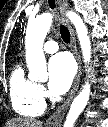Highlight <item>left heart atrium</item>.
<instances>
[{"mask_svg":"<svg viewBox=\"0 0 108 127\" xmlns=\"http://www.w3.org/2000/svg\"><path fill=\"white\" fill-rule=\"evenodd\" d=\"M48 86L52 93L60 95L71 86L76 68L72 58L67 53H58L49 62Z\"/></svg>","mask_w":108,"mask_h":127,"instance_id":"1","label":"left heart atrium"}]
</instances>
